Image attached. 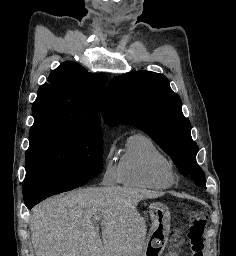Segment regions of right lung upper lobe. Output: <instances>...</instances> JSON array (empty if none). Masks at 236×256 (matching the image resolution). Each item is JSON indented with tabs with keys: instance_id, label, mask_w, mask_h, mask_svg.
<instances>
[{
	"instance_id": "1",
	"label": "right lung upper lobe",
	"mask_w": 236,
	"mask_h": 256,
	"mask_svg": "<svg viewBox=\"0 0 236 256\" xmlns=\"http://www.w3.org/2000/svg\"><path fill=\"white\" fill-rule=\"evenodd\" d=\"M42 85L32 106L34 124H72L100 130V109L107 76L89 73L74 62H64Z\"/></svg>"
}]
</instances>
